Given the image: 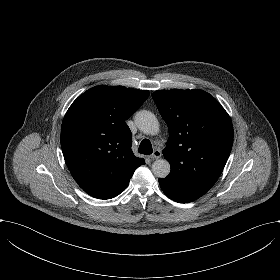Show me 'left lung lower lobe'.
I'll use <instances>...</instances> for the list:
<instances>
[{
  "label": "left lung lower lobe",
  "mask_w": 280,
  "mask_h": 280,
  "mask_svg": "<svg viewBox=\"0 0 280 280\" xmlns=\"http://www.w3.org/2000/svg\"><path fill=\"white\" fill-rule=\"evenodd\" d=\"M160 187L162 188L163 192L172 200L179 202V203H188L192 202L202 195H204L208 190L206 189H190V190H179L176 187L168 182L165 181L163 178L159 179Z\"/></svg>",
  "instance_id": "left-lung-lower-lobe-1"
}]
</instances>
